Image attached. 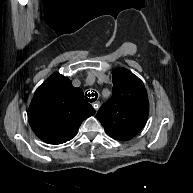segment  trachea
Wrapping results in <instances>:
<instances>
[{
    "instance_id": "trachea-1",
    "label": "trachea",
    "mask_w": 193,
    "mask_h": 193,
    "mask_svg": "<svg viewBox=\"0 0 193 193\" xmlns=\"http://www.w3.org/2000/svg\"><path fill=\"white\" fill-rule=\"evenodd\" d=\"M89 94H90V93H88V95H89ZM89 97H90V96H89ZM86 99H87L88 102H94L93 99H89V98H87V97H86Z\"/></svg>"
}]
</instances>
